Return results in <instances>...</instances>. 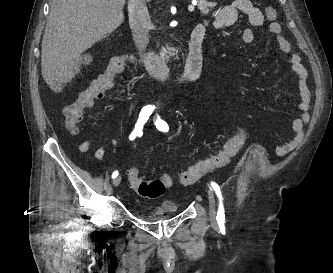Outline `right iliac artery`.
Instances as JSON below:
<instances>
[{
    "label": "right iliac artery",
    "instance_id": "82829eb1",
    "mask_svg": "<svg viewBox=\"0 0 333 273\" xmlns=\"http://www.w3.org/2000/svg\"><path fill=\"white\" fill-rule=\"evenodd\" d=\"M154 106H145L142 108L140 114H139V118L137 120V123L135 124V128L132 131V133L129 136L130 140H134L137 136H142L143 135V126L144 124L147 122V120L149 119L150 115L152 114V112L154 111ZM118 176V171H114L112 174V178H115Z\"/></svg>",
    "mask_w": 333,
    "mask_h": 273
}]
</instances>
